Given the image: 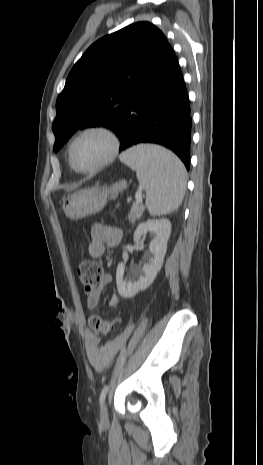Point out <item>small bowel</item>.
<instances>
[{
  "label": "small bowel",
  "mask_w": 263,
  "mask_h": 465,
  "mask_svg": "<svg viewBox=\"0 0 263 465\" xmlns=\"http://www.w3.org/2000/svg\"><path fill=\"white\" fill-rule=\"evenodd\" d=\"M91 242L89 244V253L94 258H100L105 254L106 247H114L121 240V232L112 226L102 223H95L90 228ZM111 280L110 275L106 274L101 279L100 286L93 293L87 296V307L89 310H95L99 304L103 287ZM120 304V297L112 295L109 300L110 307H117ZM130 330H134V325H129V329L102 344L101 337L91 330L85 332V345L87 357L93 368L101 372L109 366L114 357L126 341ZM132 332V331H131Z\"/></svg>",
  "instance_id": "small-bowel-1"
}]
</instances>
